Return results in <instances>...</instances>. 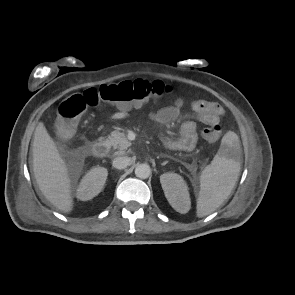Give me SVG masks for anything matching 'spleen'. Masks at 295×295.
<instances>
[{"instance_id": "1", "label": "spleen", "mask_w": 295, "mask_h": 295, "mask_svg": "<svg viewBox=\"0 0 295 295\" xmlns=\"http://www.w3.org/2000/svg\"><path fill=\"white\" fill-rule=\"evenodd\" d=\"M239 139L228 131L222 138L218 153L200 175V192L197 199V216L214 212L228 198L241 169Z\"/></svg>"}]
</instances>
